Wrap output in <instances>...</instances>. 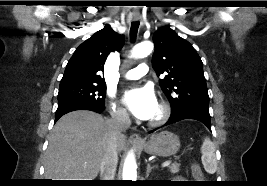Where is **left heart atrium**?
Here are the masks:
<instances>
[{"label": "left heart atrium", "mask_w": 267, "mask_h": 186, "mask_svg": "<svg viewBox=\"0 0 267 186\" xmlns=\"http://www.w3.org/2000/svg\"><path fill=\"white\" fill-rule=\"evenodd\" d=\"M123 103L136 118L141 120H149L158 106L153 90L148 87H137L126 91Z\"/></svg>", "instance_id": "obj_1"}]
</instances>
